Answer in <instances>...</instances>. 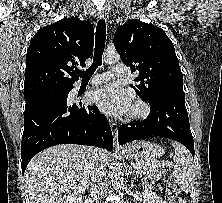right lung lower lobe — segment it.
I'll list each match as a JSON object with an SVG mask.
<instances>
[{
  "label": "right lung lower lobe",
  "mask_w": 222,
  "mask_h": 203,
  "mask_svg": "<svg viewBox=\"0 0 222 203\" xmlns=\"http://www.w3.org/2000/svg\"><path fill=\"white\" fill-rule=\"evenodd\" d=\"M73 85L27 99L21 143L22 173L40 151L58 144H80L113 149L108 120L93 106L68 103Z\"/></svg>",
  "instance_id": "obj_1"
}]
</instances>
